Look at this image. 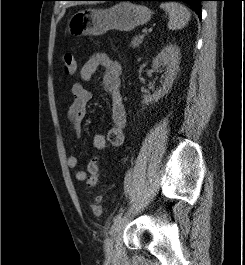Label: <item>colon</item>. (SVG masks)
I'll use <instances>...</instances> for the list:
<instances>
[{
	"mask_svg": "<svg viewBox=\"0 0 245 265\" xmlns=\"http://www.w3.org/2000/svg\"><path fill=\"white\" fill-rule=\"evenodd\" d=\"M62 62L67 74H74L77 71L78 64L74 57V55L70 52L64 53L62 56ZM88 184L91 187H94L98 184L99 181V168L97 164V160L95 158L91 159L88 167ZM92 212L100 216L104 213V208L97 200L94 204L91 205Z\"/></svg>",
	"mask_w": 245,
	"mask_h": 265,
	"instance_id": "1",
	"label": "colon"
}]
</instances>
